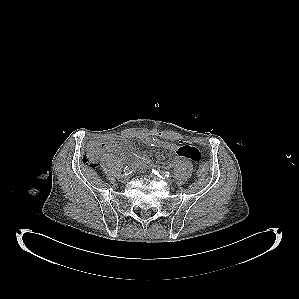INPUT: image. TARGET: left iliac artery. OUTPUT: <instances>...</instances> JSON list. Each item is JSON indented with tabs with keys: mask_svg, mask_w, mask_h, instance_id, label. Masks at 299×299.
Wrapping results in <instances>:
<instances>
[{
	"mask_svg": "<svg viewBox=\"0 0 299 299\" xmlns=\"http://www.w3.org/2000/svg\"><path fill=\"white\" fill-rule=\"evenodd\" d=\"M152 173H154L158 177L164 178V179L171 177L169 172H161V171H156V170L152 169Z\"/></svg>",
	"mask_w": 299,
	"mask_h": 299,
	"instance_id": "44dca946",
	"label": "left iliac artery"
}]
</instances>
